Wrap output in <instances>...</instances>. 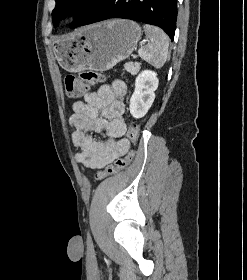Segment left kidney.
Segmentation results:
<instances>
[{"mask_svg":"<svg viewBox=\"0 0 247 280\" xmlns=\"http://www.w3.org/2000/svg\"><path fill=\"white\" fill-rule=\"evenodd\" d=\"M158 82L157 74L150 70H144L136 77L135 90L129 106L134 118L139 119L146 115L154 102Z\"/></svg>","mask_w":247,"mask_h":280,"instance_id":"left-kidney-1","label":"left kidney"}]
</instances>
